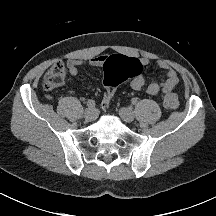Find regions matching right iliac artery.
Wrapping results in <instances>:
<instances>
[{
    "label": "right iliac artery",
    "mask_w": 216,
    "mask_h": 216,
    "mask_svg": "<svg viewBox=\"0 0 216 216\" xmlns=\"http://www.w3.org/2000/svg\"><path fill=\"white\" fill-rule=\"evenodd\" d=\"M87 106H88L89 108H94V107H95V101H94V100H88Z\"/></svg>",
    "instance_id": "1"
}]
</instances>
